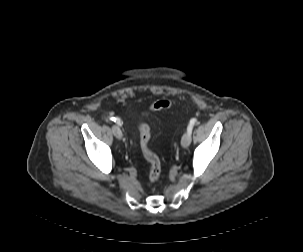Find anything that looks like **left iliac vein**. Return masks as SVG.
Listing matches in <instances>:
<instances>
[{"instance_id":"1","label":"left iliac vein","mask_w":303,"mask_h":252,"mask_svg":"<svg viewBox=\"0 0 303 252\" xmlns=\"http://www.w3.org/2000/svg\"><path fill=\"white\" fill-rule=\"evenodd\" d=\"M192 140V133L190 131H186L181 139V145L184 148H187Z\"/></svg>"}]
</instances>
